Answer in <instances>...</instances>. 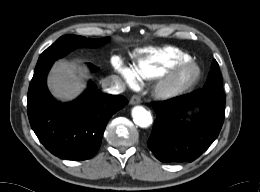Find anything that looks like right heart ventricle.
I'll return each mask as SVG.
<instances>
[{"instance_id": "obj_1", "label": "right heart ventricle", "mask_w": 260, "mask_h": 192, "mask_svg": "<svg viewBox=\"0 0 260 192\" xmlns=\"http://www.w3.org/2000/svg\"><path fill=\"white\" fill-rule=\"evenodd\" d=\"M189 59L190 57L187 53L174 47L148 51L138 60L135 72L142 78L154 79L161 77L176 65Z\"/></svg>"}]
</instances>
